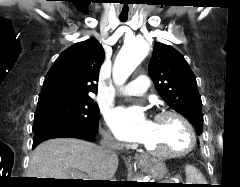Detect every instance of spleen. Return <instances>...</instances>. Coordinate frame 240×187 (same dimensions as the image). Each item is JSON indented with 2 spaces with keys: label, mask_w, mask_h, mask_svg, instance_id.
Wrapping results in <instances>:
<instances>
[{
  "label": "spleen",
  "mask_w": 240,
  "mask_h": 187,
  "mask_svg": "<svg viewBox=\"0 0 240 187\" xmlns=\"http://www.w3.org/2000/svg\"><path fill=\"white\" fill-rule=\"evenodd\" d=\"M185 172L188 184H206L205 178L201 172L192 165L185 166Z\"/></svg>",
  "instance_id": "spleen-1"
}]
</instances>
